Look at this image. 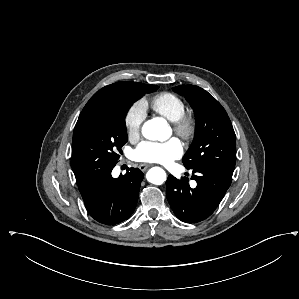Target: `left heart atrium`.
<instances>
[{"mask_svg":"<svg viewBox=\"0 0 299 299\" xmlns=\"http://www.w3.org/2000/svg\"><path fill=\"white\" fill-rule=\"evenodd\" d=\"M183 154L181 143L172 138L165 142L142 141L132 151L131 157L135 161L146 163H160L168 165Z\"/></svg>","mask_w":299,"mask_h":299,"instance_id":"left-heart-atrium-1","label":"left heart atrium"}]
</instances>
